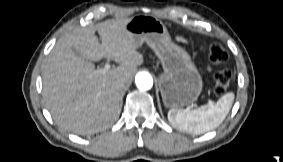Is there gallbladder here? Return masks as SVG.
Returning <instances> with one entry per match:
<instances>
[{
  "instance_id": "obj_1",
  "label": "gallbladder",
  "mask_w": 283,
  "mask_h": 162,
  "mask_svg": "<svg viewBox=\"0 0 283 162\" xmlns=\"http://www.w3.org/2000/svg\"><path fill=\"white\" fill-rule=\"evenodd\" d=\"M72 50H73V52H74L75 55H79V53H78L77 50H75L74 48H72Z\"/></svg>"
}]
</instances>
